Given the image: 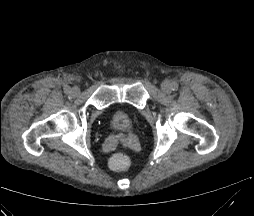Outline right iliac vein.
I'll use <instances>...</instances> for the list:
<instances>
[{"instance_id": "right-iliac-vein-1", "label": "right iliac vein", "mask_w": 254, "mask_h": 216, "mask_svg": "<svg viewBox=\"0 0 254 216\" xmlns=\"http://www.w3.org/2000/svg\"><path fill=\"white\" fill-rule=\"evenodd\" d=\"M79 93H80V89H79L78 87H73V88L71 89V95H72V96L76 97V96L79 95Z\"/></svg>"}]
</instances>
